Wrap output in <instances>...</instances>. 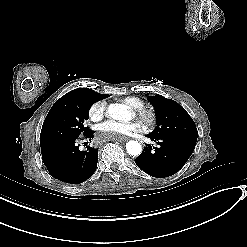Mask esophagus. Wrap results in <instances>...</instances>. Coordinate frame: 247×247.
<instances>
[{
    "label": "esophagus",
    "instance_id": "obj_1",
    "mask_svg": "<svg viewBox=\"0 0 247 247\" xmlns=\"http://www.w3.org/2000/svg\"><path fill=\"white\" fill-rule=\"evenodd\" d=\"M136 143H137L138 145H144V142H143V140H142L141 138H138V139L136 140Z\"/></svg>",
    "mask_w": 247,
    "mask_h": 247
}]
</instances>
